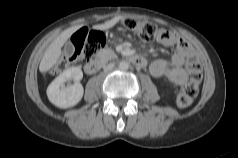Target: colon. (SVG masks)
Returning <instances> with one entry per match:
<instances>
[{
    "instance_id": "1",
    "label": "colon",
    "mask_w": 238,
    "mask_h": 158,
    "mask_svg": "<svg viewBox=\"0 0 238 158\" xmlns=\"http://www.w3.org/2000/svg\"><path fill=\"white\" fill-rule=\"evenodd\" d=\"M123 25L126 29L137 35L144 42L159 41L169 37L170 32L156 24L133 18L125 19ZM73 50L64 54L52 69L53 73L62 71L75 61L86 62L94 53L104 45L105 38L101 32L81 29L70 39ZM190 80L177 93V104L181 108L188 107L197 96L202 79V67L198 59L191 55L186 64Z\"/></svg>"
}]
</instances>
